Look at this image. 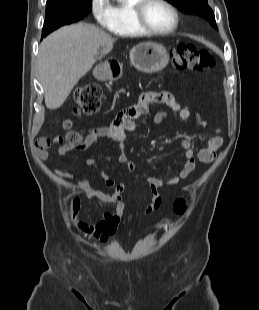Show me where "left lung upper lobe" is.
<instances>
[{
	"mask_svg": "<svg viewBox=\"0 0 259 310\" xmlns=\"http://www.w3.org/2000/svg\"><path fill=\"white\" fill-rule=\"evenodd\" d=\"M180 11L198 15L206 20H209L210 24L217 29L214 14L211 8L208 6L207 0H167Z\"/></svg>",
	"mask_w": 259,
	"mask_h": 310,
	"instance_id": "5c2ea615",
	"label": "left lung upper lobe"
}]
</instances>
